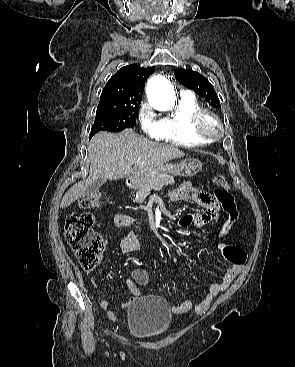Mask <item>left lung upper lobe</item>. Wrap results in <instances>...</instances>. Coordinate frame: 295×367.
<instances>
[{
	"mask_svg": "<svg viewBox=\"0 0 295 367\" xmlns=\"http://www.w3.org/2000/svg\"><path fill=\"white\" fill-rule=\"evenodd\" d=\"M174 74L182 85L195 91L213 107L220 108L219 98L214 87L204 76L191 69L182 68H177Z\"/></svg>",
	"mask_w": 295,
	"mask_h": 367,
	"instance_id": "1",
	"label": "left lung upper lobe"
}]
</instances>
